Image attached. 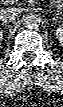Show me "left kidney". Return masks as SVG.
I'll use <instances>...</instances> for the list:
<instances>
[{
  "label": "left kidney",
  "instance_id": "5707ae66",
  "mask_svg": "<svg viewBox=\"0 0 63 107\" xmlns=\"http://www.w3.org/2000/svg\"><path fill=\"white\" fill-rule=\"evenodd\" d=\"M56 37L60 44L63 45V26H60L56 29Z\"/></svg>",
  "mask_w": 63,
  "mask_h": 107
}]
</instances>
